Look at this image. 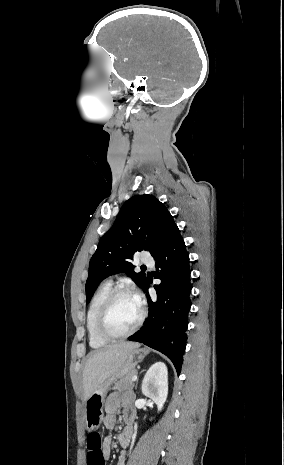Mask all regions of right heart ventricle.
<instances>
[{
  "label": "right heart ventricle",
  "instance_id": "1",
  "mask_svg": "<svg viewBox=\"0 0 284 465\" xmlns=\"http://www.w3.org/2000/svg\"><path fill=\"white\" fill-rule=\"evenodd\" d=\"M112 292V285L109 282L102 283L95 293L93 294L86 314V332L87 339L90 346H107L108 342L101 340L95 332V323L98 316V313L107 299V297Z\"/></svg>",
  "mask_w": 284,
  "mask_h": 465
}]
</instances>
